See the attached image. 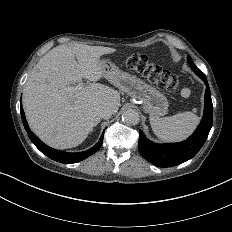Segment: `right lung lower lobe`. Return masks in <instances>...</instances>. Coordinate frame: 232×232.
I'll return each mask as SVG.
<instances>
[{
	"label": "right lung lower lobe",
	"mask_w": 232,
	"mask_h": 232,
	"mask_svg": "<svg viewBox=\"0 0 232 232\" xmlns=\"http://www.w3.org/2000/svg\"><path fill=\"white\" fill-rule=\"evenodd\" d=\"M20 111H21V117H22V121H23V125L24 128L26 129L28 136L30 138V140L34 143V145L43 153L45 154L47 157H49L52 160L61 162V163H65V164H70V163H76L79 161H82L84 159H86L87 157H89L90 155L94 154L96 151H98L102 145L103 142V135L104 133H102L98 143L93 146L92 148H90L89 150L83 151V152H78V153H68V152H63V151H58L55 150L47 145H45L44 143H42V141L36 137V135L31 132L27 121L25 119V114L22 108V104H20Z\"/></svg>",
	"instance_id": "1"
}]
</instances>
